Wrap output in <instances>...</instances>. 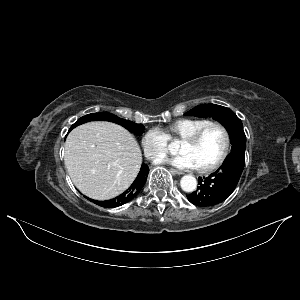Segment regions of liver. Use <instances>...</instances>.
Instances as JSON below:
<instances>
[{
    "mask_svg": "<svg viewBox=\"0 0 300 300\" xmlns=\"http://www.w3.org/2000/svg\"><path fill=\"white\" fill-rule=\"evenodd\" d=\"M65 166L86 196L108 200L134 181L142 163L133 135L111 122H89L73 129L65 143Z\"/></svg>",
    "mask_w": 300,
    "mask_h": 300,
    "instance_id": "obj_1",
    "label": "liver"
}]
</instances>
